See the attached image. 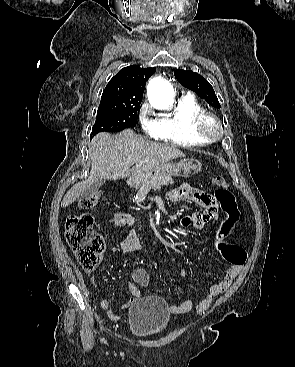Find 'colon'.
<instances>
[{
	"mask_svg": "<svg viewBox=\"0 0 295 367\" xmlns=\"http://www.w3.org/2000/svg\"><path fill=\"white\" fill-rule=\"evenodd\" d=\"M212 184L216 190H212L211 193L214 196L216 195L227 216L221 230L222 236H227L238 221L240 213L235 197L228 189L224 177H215ZM98 203V193L83 196L78 200V206L82 209L94 208ZM65 236L81 267L86 271H93L98 266L104 250L102 237L94 231V217L88 213L70 214L65 222ZM221 251L224 258L231 265H243L245 263L246 252L242 247L234 244H222Z\"/></svg>",
	"mask_w": 295,
	"mask_h": 367,
	"instance_id": "1",
	"label": "colon"
}]
</instances>
